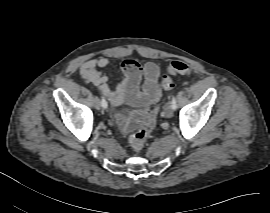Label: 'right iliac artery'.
Listing matches in <instances>:
<instances>
[{
    "label": "right iliac artery",
    "instance_id": "1",
    "mask_svg": "<svg viewBox=\"0 0 270 213\" xmlns=\"http://www.w3.org/2000/svg\"><path fill=\"white\" fill-rule=\"evenodd\" d=\"M101 105H102V107H103L104 109L107 108V102H106V100L104 99V97H101Z\"/></svg>",
    "mask_w": 270,
    "mask_h": 213
}]
</instances>
